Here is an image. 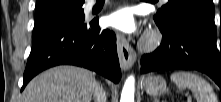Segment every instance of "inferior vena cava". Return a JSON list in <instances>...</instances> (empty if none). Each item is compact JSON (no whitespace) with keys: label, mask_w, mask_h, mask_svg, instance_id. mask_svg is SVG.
<instances>
[{"label":"inferior vena cava","mask_w":221,"mask_h":102,"mask_svg":"<svg viewBox=\"0 0 221 102\" xmlns=\"http://www.w3.org/2000/svg\"><path fill=\"white\" fill-rule=\"evenodd\" d=\"M94 96L96 97L97 102H106V93L99 84H95Z\"/></svg>","instance_id":"602c4592"}]
</instances>
